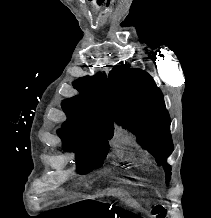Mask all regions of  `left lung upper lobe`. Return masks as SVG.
<instances>
[{"label":"left lung upper lobe","mask_w":211,"mask_h":218,"mask_svg":"<svg viewBox=\"0 0 211 218\" xmlns=\"http://www.w3.org/2000/svg\"><path fill=\"white\" fill-rule=\"evenodd\" d=\"M112 118L137 137L158 165H163L166 183L171 178V167L166 159L173 151L170 117L163 94L153 78L144 70L116 66L108 79Z\"/></svg>","instance_id":"left-lung-upper-lobe-1"}]
</instances>
